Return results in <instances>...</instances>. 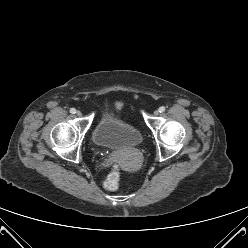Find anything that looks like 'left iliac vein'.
Segmentation results:
<instances>
[{"label":"left iliac vein","mask_w":248,"mask_h":248,"mask_svg":"<svg viewBox=\"0 0 248 248\" xmlns=\"http://www.w3.org/2000/svg\"><path fill=\"white\" fill-rule=\"evenodd\" d=\"M159 115V110H155L154 111V116H158Z\"/></svg>","instance_id":"4c4485c4"}]
</instances>
